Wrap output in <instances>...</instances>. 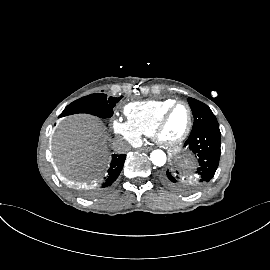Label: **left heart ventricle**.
<instances>
[{
  "instance_id": "b2bd125f",
  "label": "left heart ventricle",
  "mask_w": 270,
  "mask_h": 270,
  "mask_svg": "<svg viewBox=\"0 0 270 270\" xmlns=\"http://www.w3.org/2000/svg\"><path fill=\"white\" fill-rule=\"evenodd\" d=\"M188 123V111L183 105L177 106L170 114L163 130V137L174 139L180 136Z\"/></svg>"
}]
</instances>
